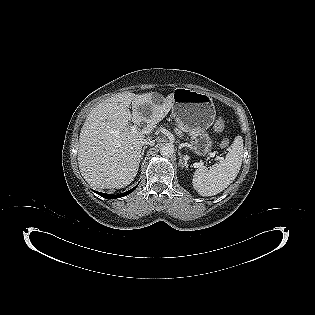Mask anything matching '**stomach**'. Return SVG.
I'll list each match as a JSON object with an SVG mask.
<instances>
[{
    "label": "stomach",
    "instance_id": "obj_1",
    "mask_svg": "<svg viewBox=\"0 0 315 315\" xmlns=\"http://www.w3.org/2000/svg\"><path fill=\"white\" fill-rule=\"evenodd\" d=\"M172 94V116L188 131L190 149L199 156L208 155L213 141L207 130L216 116L212 98L207 93L187 88H176Z\"/></svg>",
    "mask_w": 315,
    "mask_h": 315
}]
</instances>
